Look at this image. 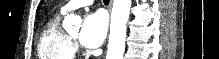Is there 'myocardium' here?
Returning <instances> with one entry per match:
<instances>
[{
  "instance_id": "f54148a6",
  "label": "myocardium",
  "mask_w": 219,
  "mask_h": 59,
  "mask_svg": "<svg viewBox=\"0 0 219 59\" xmlns=\"http://www.w3.org/2000/svg\"><path fill=\"white\" fill-rule=\"evenodd\" d=\"M69 39L73 45H77V41L75 37L69 36Z\"/></svg>"
}]
</instances>
